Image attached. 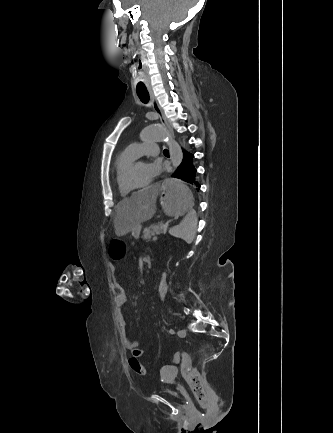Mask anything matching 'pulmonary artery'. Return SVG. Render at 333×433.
Returning <instances> with one entry per match:
<instances>
[{
  "label": "pulmonary artery",
  "instance_id": "1",
  "mask_svg": "<svg viewBox=\"0 0 333 433\" xmlns=\"http://www.w3.org/2000/svg\"><path fill=\"white\" fill-rule=\"evenodd\" d=\"M136 157L141 155H157L160 152L159 146L153 142L148 141L144 143H132L127 147Z\"/></svg>",
  "mask_w": 333,
  "mask_h": 433
}]
</instances>
